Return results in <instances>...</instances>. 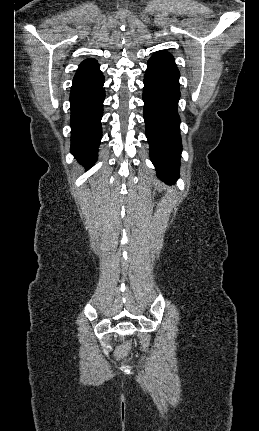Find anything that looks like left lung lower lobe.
I'll return each mask as SVG.
<instances>
[{"label": "left lung lower lobe", "instance_id": "0a47b994", "mask_svg": "<svg viewBox=\"0 0 259 431\" xmlns=\"http://www.w3.org/2000/svg\"><path fill=\"white\" fill-rule=\"evenodd\" d=\"M179 76L173 56L166 51H158L148 60L143 81V116L150 158L158 177L168 184L179 177L182 150L177 112Z\"/></svg>", "mask_w": 259, "mask_h": 431}]
</instances>
